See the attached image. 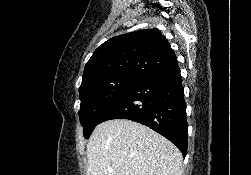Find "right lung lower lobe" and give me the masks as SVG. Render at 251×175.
<instances>
[{
    "mask_svg": "<svg viewBox=\"0 0 251 175\" xmlns=\"http://www.w3.org/2000/svg\"><path fill=\"white\" fill-rule=\"evenodd\" d=\"M129 119L144 124L187 154L186 104L179 66L141 79L100 117L99 122Z\"/></svg>",
    "mask_w": 251,
    "mask_h": 175,
    "instance_id": "right-lung-lower-lobe-1",
    "label": "right lung lower lobe"
}]
</instances>
